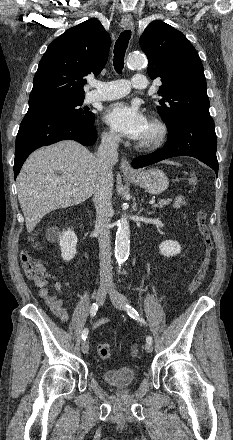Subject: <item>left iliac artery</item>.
<instances>
[{"label": "left iliac artery", "instance_id": "1", "mask_svg": "<svg viewBox=\"0 0 233 440\" xmlns=\"http://www.w3.org/2000/svg\"><path fill=\"white\" fill-rule=\"evenodd\" d=\"M125 309H126L128 315L130 317H132L133 319H136V320H138V321H140L142 323H145L144 319L140 318L138 312L133 307H131L130 305L126 304L125 305ZM146 340H147V343H152L153 342L151 336H148Z\"/></svg>", "mask_w": 233, "mask_h": 440}]
</instances>
